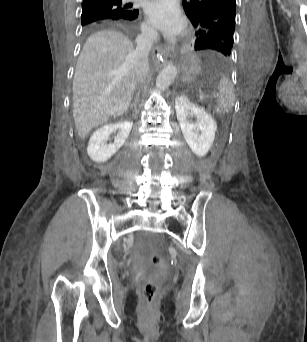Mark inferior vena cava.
Instances as JSON below:
<instances>
[{"mask_svg":"<svg viewBox=\"0 0 307 342\" xmlns=\"http://www.w3.org/2000/svg\"><path fill=\"white\" fill-rule=\"evenodd\" d=\"M156 38L157 32L150 28L143 30L142 34L136 38L138 46L135 52H132V56L135 58L134 68L139 82H143L149 72L148 56Z\"/></svg>","mask_w":307,"mask_h":342,"instance_id":"602c4592","label":"inferior vena cava"}]
</instances>
